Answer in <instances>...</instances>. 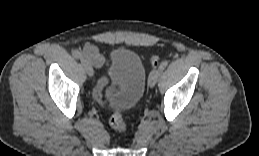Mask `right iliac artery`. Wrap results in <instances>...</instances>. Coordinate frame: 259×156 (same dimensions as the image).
Instances as JSON below:
<instances>
[{"mask_svg":"<svg viewBox=\"0 0 259 156\" xmlns=\"http://www.w3.org/2000/svg\"><path fill=\"white\" fill-rule=\"evenodd\" d=\"M73 56L77 59H81L82 58V54L78 51H73Z\"/></svg>","mask_w":259,"mask_h":156,"instance_id":"82829eb1","label":"right iliac artery"}]
</instances>
